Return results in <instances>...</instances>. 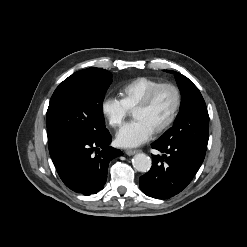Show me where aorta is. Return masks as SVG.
I'll return each instance as SVG.
<instances>
[{
	"instance_id": "762f6f07",
	"label": "aorta",
	"mask_w": 247,
	"mask_h": 247,
	"mask_svg": "<svg viewBox=\"0 0 247 247\" xmlns=\"http://www.w3.org/2000/svg\"><path fill=\"white\" fill-rule=\"evenodd\" d=\"M132 162L134 168L139 172H148L152 165L150 157L144 153L136 154Z\"/></svg>"
}]
</instances>
